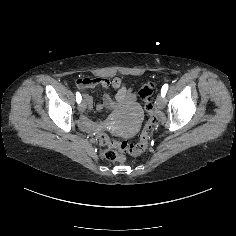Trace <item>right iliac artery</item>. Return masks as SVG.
<instances>
[{
  "instance_id": "obj_1",
  "label": "right iliac artery",
  "mask_w": 236,
  "mask_h": 236,
  "mask_svg": "<svg viewBox=\"0 0 236 236\" xmlns=\"http://www.w3.org/2000/svg\"><path fill=\"white\" fill-rule=\"evenodd\" d=\"M82 100L81 94L79 92L76 93V101L79 104Z\"/></svg>"
}]
</instances>
